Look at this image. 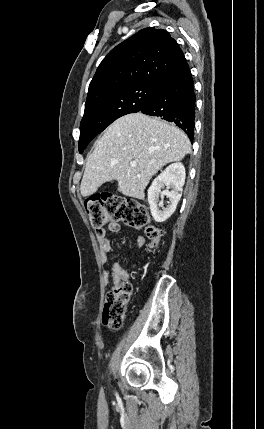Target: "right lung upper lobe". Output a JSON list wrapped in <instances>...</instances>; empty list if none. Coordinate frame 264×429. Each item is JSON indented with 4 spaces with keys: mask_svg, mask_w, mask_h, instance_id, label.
I'll return each instance as SVG.
<instances>
[{
    "mask_svg": "<svg viewBox=\"0 0 264 429\" xmlns=\"http://www.w3.org/2000/svg\"><path fill=\"white\" fill-rule=\"evenodd\" d=\"M183 58L167 31L142 29L103 59L89 85L86 102L136 84L157 85Z\"/></svg>",
    "mask_w": 264,
    "mask_h": 429,
    "instance_id": "cb5924a9",
    "label": "right lung upper lobe"
}]
</instances>
